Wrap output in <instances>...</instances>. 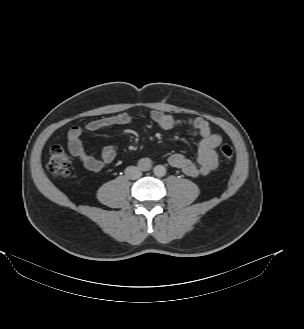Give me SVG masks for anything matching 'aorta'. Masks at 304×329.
Wrapping results in <instances>:
<instances>
[{"label":"aorta","mask_w":304,"mask_h":329,"mask_svg":"<svg viewBox=\"0 0 304 329\" xmlns=\"http://www.w3.org/2000/svg\"><path fill=\"white\" fill-rule=\"evenodd\" d=\"M153 172L157 177H162L166 173V168L163 165H157L154 167Z\"/></svg>","instance_id":"aorta-1"}]
</instances>
